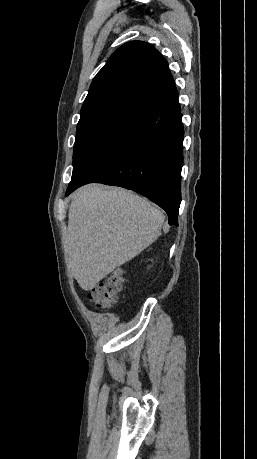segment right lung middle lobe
<instances>
[{
    "label": "right lung middle lobe",
    "mask_w": 257,
    "mask_h": 459,
    "mask_svg": "<svg viewBox=\"0 0 257 459\" xmlns=\"http://www.w3.org/2000/svg\"><path fill=\"white\" fill-rule=\"evenodd\" d=\"M135 113L124 107H109L81 115L74 144L72 176L100 153L117 130Z\"/></svg>",
    "instance_id": "dd1d6c3e"
}]
</instances>
